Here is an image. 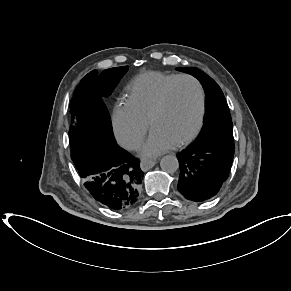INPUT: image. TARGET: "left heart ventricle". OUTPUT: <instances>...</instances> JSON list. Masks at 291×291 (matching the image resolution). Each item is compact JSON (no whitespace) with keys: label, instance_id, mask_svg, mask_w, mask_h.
I'll return each instance as SVG.
<instances>
[{"label":"left heart ventricle","instance_id":"left-heart-ventricle-1","mask_svg":"<svg viewBox=\"0 0 291 291\" xmlns=\"http://www.w3.org/2000/svg\"><path fill=\"white\" fill-rule=\"evenodd\" d=\"M200 110V96L195 83L178 82L168 96L163 112L155 119L152 130L158 131L175 144L195 128Z\"/></svg>","mask_w":291,"mask_h":291}]
</instances>
